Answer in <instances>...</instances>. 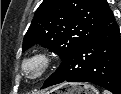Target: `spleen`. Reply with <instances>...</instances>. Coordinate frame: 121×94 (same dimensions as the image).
<instances>
[{
    "label": "spleen",
    "mask_w": 121,
    "mask_h": 94,
    "mask_svg": "<svg viewBox=\"0 0 121 94\" xmlns=\"http://www.w3.org/2000/svg\"><path fill=\"white\" fill-rule=\"evenodd\" d=\"M103 94H109L107 91H104Z\"/></svg>",
    "instance_id": "obj_1"
}]
</instances>
